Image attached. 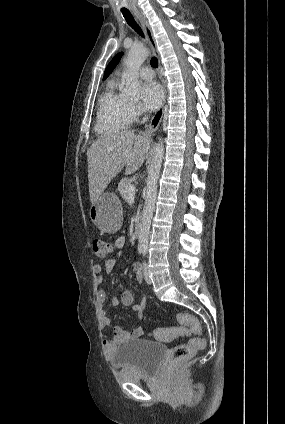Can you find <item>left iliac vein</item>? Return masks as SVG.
<instances>
[{
    "instance_id": "4c4485c4",
    "label": "left iliac vein",
    "mask_w": 285,
    "mask_h": 424,
    "mask_svg": "<svg viewBox=\"0 0 285 424\" xmlns=\"http://www.w3.org/2000/svg\"><path fill=\"white\" fill-rule=\"evenodd\" d=\"M142 268H143V275H144V278H145L146 283L151 284L152 281H151V279L149 277V274H148V269H147V263L146 262H143Z\"/></svg>"
}]
</instances>
